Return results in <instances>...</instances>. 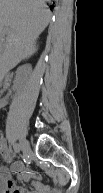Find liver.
Segmentation results:
<instances>
[{"label": "liver", "mask_w": 103, "mask_h": 193, "mask_svg": "<svg viewBox=\"0 0 103 193\" xmlns=\"http://www.w3.org/2000/svg\"><path fill=\"white\" fill-rule=\"evenodd\" d=\"M45 0H0L1 76L36 51V39L48 26Z\"/></svg>", "instance_id": "1"}]
</instances>
